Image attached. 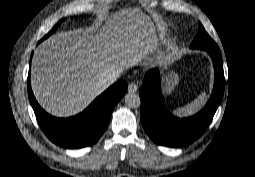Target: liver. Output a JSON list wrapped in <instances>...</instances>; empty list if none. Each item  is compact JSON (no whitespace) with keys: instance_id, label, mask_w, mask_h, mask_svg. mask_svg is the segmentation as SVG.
Listing matches in <instances>:
<instances>
[{"instance_id":"obj_1","label":"liver","mask_w":255,"mask_h":177,"mask_svg":"<svg viewBox=\"0 0 255 177\" xmlns=\"http://www.w3.org/2000/svg\"><path fill=\"white\" fill-rule=\"evenodd\" d=\"M142 19L131 12L104 26L43 43L33 61L34 89L40 102L57 113L85 107L104 89L100 78L107 69H122L155 44L151 32L139 26Z\"/></svg>"}]
</instances>
